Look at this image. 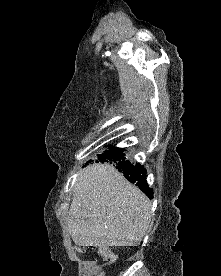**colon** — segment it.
<instances>
[{"label": "colon", "mask_w": 221, "mask_h": 276, "mask_svg": "<svg viewBox=\"0 0 221 276\" xmlns=\"http://www.w3.org/2000/svg\"><path fill=\"white\" fill-rule=\"evenodd\" d=\"M78 250L80 252L83 251V248L82 247H79ZM98 252L101 254V256L104 258V260L106 262H109V263H112L115 261L116 257L115 255L113 254L112 251H110L109 249H106V248H100L98 249Z\"/></svg>", "instance_id": "obj_1"}]
</instances>
